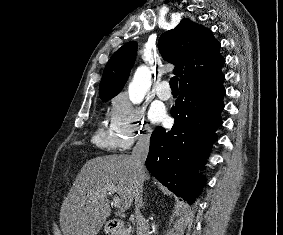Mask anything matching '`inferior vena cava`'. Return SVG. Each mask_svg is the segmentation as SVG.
Masks as SVG:
<instances>
[{
	"instance_id": "obj_1",
	"label": "inferior vena cava",
	"mask_w": 283,
	"mask_h": 235,
	"mask_svg": "<svg viewBox=\"0 0 283 235\" xmlns=\"http://www.w3.org/2000/svg\"><path fill=\"white\" fill-rule=\"evenodd\" d=\"M150 144V134H143L139 136L136 145L132 151V160L135 167V213H136V226H137V235H149L150 227L146 219L140 212V206L142 205V189L145 179V160L149 152Z\"/></svg>"
}]
</instances>
